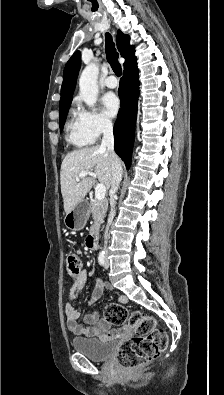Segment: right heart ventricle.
<instances>
[{"instance_id": "1", "label": "right heart ventricle", "mask_w": 224, "mask_h": 395, "mask_svg": "<svg viewBox=\"0 0 224 395\" xmlns=\"http://www.w3.org/2000/svg\"><path fill=\"white\" fill-rule=\"evenodd\" d=\"M66 138L69 143L76 147H86L94 141V139L84 131L76 114H73L68 121Z\"/></svg>"}]
</instances>
